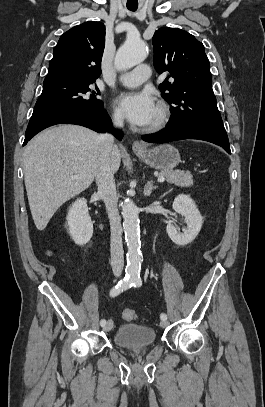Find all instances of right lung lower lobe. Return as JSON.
I'll return each instance as SVG.
<instances>
[{
  "instance_id": "right-lung-lower-lobe-1",
  "label": "right lung lower lobe",
  "mask_w": 265,
  "mask_h": 407,
  "mask_svg": "<svg viewBox=\"0 0 265 407\" xmlns=\"http://www.w3.org/2000/svg\"><path fill=\"white\" fill-rule=\"evenodd\" d=\"M77 124L90 128L96 132H108L111 128V119L103 108H84L77 111L66 112L48 119H45L37 124L28 126L25 133L23 145L35 136L41 130L56 124ZM115 136L121 140L123 133L115 132Z\"/></svg>"
}]
</instances>
